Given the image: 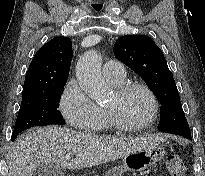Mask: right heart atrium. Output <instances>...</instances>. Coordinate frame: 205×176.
I'll return each instance as SVG.
<instances>
[{
	"mask_svg": "<svg viewBox=\"0 0 205 176\" xmlns=\"http://www.w3.org/2000/svg\"><path fill=\"white\" fill-rule=\"evenodd\" d=\"M64 119L78 130L93 128L100 119V108L83 91L74 79L67 82L59 100Z\"/></svg>",
	"mask_w": 205,
	"mask_h": 176,
	"instance_id": "d8ad5b80",
	"label": "right heart atrium"
}]
</instances>
